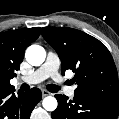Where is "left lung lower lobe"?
Masks as SVG:
<instances>
[{
  "mask_svg": "<svg viewBox=\"0 0 119 119\" xmlns=\"http://www.w3.org/2000/svg\"><path fill=\"white\" fill-rule=\"evenodd\" d=\"M58 107L52 119H117L119 101L94 98L75 93L73 100L65 95H55Z\"/></svg>",
  "mask_w": 119,
  "mask_h": 119,
  "instance_id": "left-lung-lower-lobe-1",
  "label": "left lung lower lobe"
}]
</instances>
